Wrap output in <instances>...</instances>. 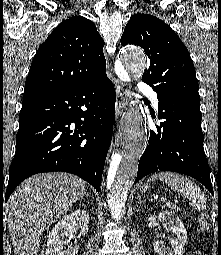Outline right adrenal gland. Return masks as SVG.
<instances>
[{"mask_svg": "<svg viewBox=\"0 0 221 255\" xmlns=\"http://www.w3.org/2000/svg\"><path fill=\"white\" fill-rule=\"evenodd\" d=\"M84 197H89V193L87 192V190H85L84 194L81 196L80 200H83Z\"/></svg>", "mask_w": 221, "mask_h": 255, "instance_id": "right-adrenal-gland-1", "label": "right adrenal gland"}]
</instances>
